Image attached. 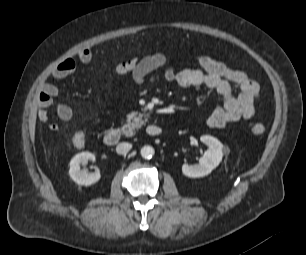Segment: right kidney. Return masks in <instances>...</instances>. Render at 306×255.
<instances>
[{"instance_id": "obj_1", "label": "right kidney", "mask_w": 306, "mask_h": 255, "mask_svg": "<svg viewBox=\"0 0 306 255\" xmlns=\"http://www.w3.org/2000/svg\"><path fill=\"white\" fill-rule=\"evenodd\" d=\"M89 160L95 161V155L90 152H81L75 155L69 163V175L78 185L90 186L100 179L99 170L87 172L80 169V164H86Z\"/></svg>"}]
</instances>
